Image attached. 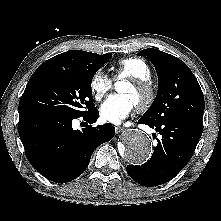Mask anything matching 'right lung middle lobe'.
Listing matches in <instances>:
<instances>
[{
    "instance_id": "right-lung-middle-lobe-1",
    "label": "right lung middle lobe",
    "mask_w": 221,
    "mask_h": 221,
    "mask_svg": "<svg viewBox=\"0 0 221 221\" xmlns=\"http://www.w3.org/2000/svg\"><path fill=\"white\" fill-rule=\"evenodd\" d=\"M99 55L86 68L42 66L33 73L19 102V110H45L79 118L95 110L91 82L110 59Z\"/></svg>"
}]
</instances>
